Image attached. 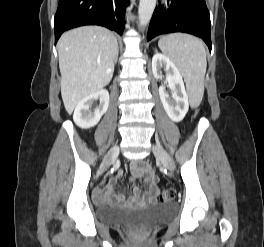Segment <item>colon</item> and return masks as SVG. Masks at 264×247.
Returning <instances> with one entry per match:
<instances>
[{
    "mask_svg": "<svg viewBox=\"0 0 264 247\" xmlns=\"http://www.w3.org/2000/svg\"><path fill=\"white\" fill-rule=\"evenodd\" d=\"M174 197H175V192L172 189L163 190L159 194V200L162 202L171 201L172 199H174Z\"/></svg>",
    "mask_w": 264,
    "mask_h": 247,
    "instance_id": "colon-1",
    "label": "colon"
}]
</instances>
